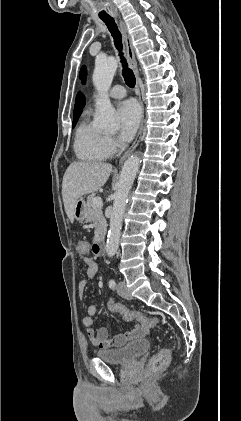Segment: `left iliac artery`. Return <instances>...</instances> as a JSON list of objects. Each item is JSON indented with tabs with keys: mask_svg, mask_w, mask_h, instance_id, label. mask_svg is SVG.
I'll use <instances>...</instances> for the list:
<instances>
[{
	"mask_svg": "<svg viewBox=\"0 0 241 421\" xmlns=\"http://www.w3.org/2000/svg\"><path fill=\"white\" fill-rule=\"evenodd\" d=\"M109 287H110V288H112V289H114V288L116 287V282H115V280H113V279H110V280H109Z\"/></svg>",
	"mask_w": 241,
	"mask_h": 421,
	"instance_id": "1",
	"label": "left iliac artery"
}]
</instances>
